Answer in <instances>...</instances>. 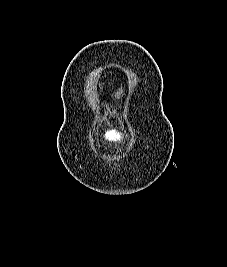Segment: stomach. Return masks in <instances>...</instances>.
Instances as JSON below:
<instances>
[{
  "label": "stomach",
  "instance_id": "obj_1",
  "mask_svg": "<svg viewBox=\"0 0 227 267\" xmlns=\"http://www.w3.org/2000/svg\"><path fill=\"white\" fill-rule=\"evenodd\" d=\"M103 101H126V96H103Z\"/></svg>",
  "mask_w": 227,
  "mask_h": 267
}]
</instances>
